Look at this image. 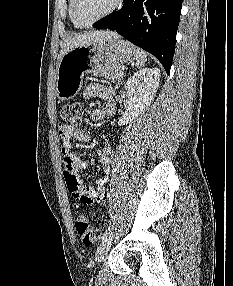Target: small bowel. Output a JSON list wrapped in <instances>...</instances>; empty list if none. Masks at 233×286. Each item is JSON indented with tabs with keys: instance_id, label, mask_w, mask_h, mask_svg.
<instances>
[{
	"instance_id": "1",
	"label": "small bowel",
	"mask_w": 233,
	"mask_h": 286,
	"mask_svg": "<svg viewBox=\"0 0 233 286\" xmlns=\"http://www.w3.org/2000/svg\"><path fill=\"white\" fill-rule=\"evenodd\" d=\"M84 99L102 98L105 103L91 113V119L95 122L102 121L115 113L114 90L100 83L89 84L83 93ZM58 133L61 140V152L64 163V178L70 194L81 203L99 202L104 198V186L109 180V173L113 159V151L109 145L102 147L98 152L102 175L97 180L96 186L84 182L79 176L78 170L85 169L87 161L77 156L73 151V140L87 142L90 138L87 131L74 129L70 125L60 124Z\"/></svg>"
}]
</instances>
